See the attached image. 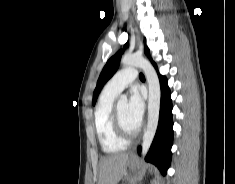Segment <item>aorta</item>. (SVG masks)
<instances>
[{
  "mask_svg": "<svg viewBox=\"0 0 235 184\" xmlns=\"http://www.w3.org/2000/svg\"><path fill=\"white\" fill-rule=\"evenodd\" d=\"M121 64H123V66H126V68H128V66L141 68L148 82V122L142 142V158H145L156 134L159 120L161 92L158 76L153 66H151L150 62H148V60H145L143 56H137V54H125V56H123L121 60ZM127 102L128 100L125 94L119 96L118 106H124V104H127Z\"/></svg>",
  "mask_w": 235,
  "mask_h": 184,
  "instance_id": "1",
  "label": "aorta"
}]
</instances>
